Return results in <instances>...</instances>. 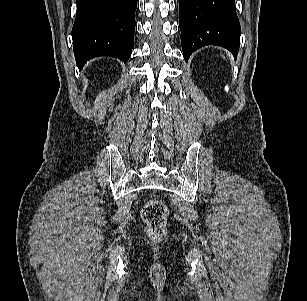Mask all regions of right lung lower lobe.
Wrapping results in <instances>:
<instances>
[{
    "instance_id": "98d812e1",
    "label": "right lung lower lobe",
    "mask_w": 307,
    "mask_h": 301,
    "mask_svg": "<svg viewBox=\"0 0 307 301\" xmlns=\"http://www.w3.org/2000/svg\"><path fill=\"white\" fill-rule=\"evenodd\" d=\"M76 2L72 39L79 68L91 58L104 55L127 62L134 43L137 0Z\"/></svg>"
}]
</instances>
